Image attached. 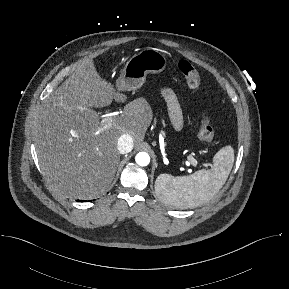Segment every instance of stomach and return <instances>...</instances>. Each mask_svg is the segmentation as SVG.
Returning <instances> with one entry per match:
<instances>
[{
    "instance_id": "0dacf381",
    "label": "stomach",
    "mask_w": 289,
    "mask_h": 289,
    "mask_svg": "<svg viewBox=\"0 0 289 289\" xmlns=\"http://www.w3.org/2000/svg\"><path fill=\"white\" fill-rule=\"evenodd\" d=\"M164 54L154 48H145L134 54L125 64L120 77L116 81L119 91L136 90L143 85L149 73L159 74L166 68Z\"/></svg>"
}]
</instances>
